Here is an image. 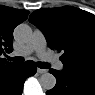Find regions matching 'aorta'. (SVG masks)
<instances>
[{"instance_id":"obj_1","label":"aorta","mask_w":95,"mask_h":95,"mask_svg":"<svg viewBox=\"0 0 95 95\" xmlns=\"http://www.w3.org/2000/svg\"><path fill=\"white\" fill-rule=\"evenodd\" d=\"M14 36L21 42H28L32 37V29L27 24H20L14 30ZM40 85L45 90H51L56 85V78L51 73H44L39 79Z\"/></svg>"}]
</instances>
